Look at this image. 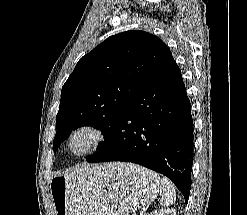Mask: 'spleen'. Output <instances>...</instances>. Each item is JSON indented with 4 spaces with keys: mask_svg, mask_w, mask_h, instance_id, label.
I'll list each match as a JSON object with an SVG mask.
<instances>
[{
    "mask_svg": "<svg viewBox=\"0 0 247 215\" xmlns=\"http://www.w3.org/2000/svg\"><path fill=\"white\" fill-rule=\"evenodd\" d=\"M160 203L162 206H169L176 201V192L173 184L167 178H161L160 181Z\"/></svg>",
    "mask_w": 247,
    "mask_h": 215,
    "instance_id": "spleen-1",
    "label": "spleen"
}]
</instances>
